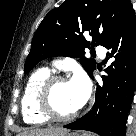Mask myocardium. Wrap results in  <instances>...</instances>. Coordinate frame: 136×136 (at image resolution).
<instances>
[{
  "mask_svg": "<svg viewBox=\"0 0 136 136\" xmlns=\"http://www.w3.org/2000/svg\"><path fill=\"white\" fill-rule=\"evenodd\" d=\"M67 81L68 78L63 75H50L45 79V81L41 85L37 95V108L40 114L47 120L56 122H67L78 116L80 111L79 108L68 115H58L57 113H55L51 105V93L53 87L57 83Z\"/></svg>",
  "mask_w": 136,
  "mask_h": 136,
  "instance_id": "1",
  "label": "myocardium"
}]
</instances>
